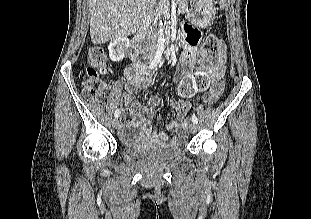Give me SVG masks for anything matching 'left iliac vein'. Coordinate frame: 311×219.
I'll return each instance as SVG.
<instances>
[{
	"instance_id": "obj_1",
	"label": "left iliac vein",
	"mask_w": 311,
	"mask_h": 219,
	"mask_svg": "<svg viewBox=\"0 0 311 219\" xmlns=\"http://www.w3.org/2000/svg\"><path fill=\"white\" fill-rule=\"evenodd\" d=\"M189 131L190 133L195 134L197 132V125L195 123H191L189 125Z\"/></svg>"
}]
</instances>
